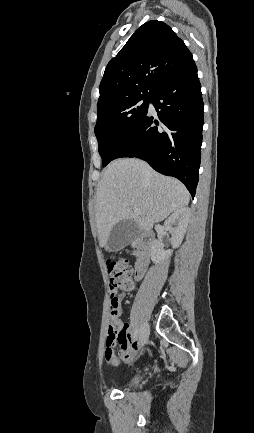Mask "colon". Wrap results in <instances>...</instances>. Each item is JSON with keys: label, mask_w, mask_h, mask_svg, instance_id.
I'll list each match as a JSON object with an SVG mask.
<instances>
[{"label": "colon", "mask_w": 254, "mask_h": 433, "mask_svg": "<svg viewBox=\"0 0 254 433\" xmlns=\"http://www.w3.org/2000/svg\"><path fill=\"white\" fill-rule=\"evenodd\" d=\"M107 272L110 283L111 312L110 325L108 330V340L106 353L114 352L113 346L118 343L121 335V325L119 321V301L114 292L117 289L131 291L134 287L132 280V268L126 260L109 259L106 262Z\"/></svg>", "instance_id": "5ec220e1"}]
</instances>
